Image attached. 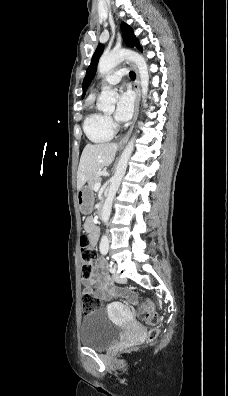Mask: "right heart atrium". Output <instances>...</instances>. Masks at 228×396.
Here are the masks:
<instances>
[{
    "instance_id": "d8ad5b80",
    "label": "right heart atrium",
    "mask_w": 228,
    "mask_h": 396,
    "mask_svg": "<svg viewBox=\"0 0 228 396\" xmlns=\"http://www.w3.org/2000/svg\"><path fill=\"white\" fill-rule=\"evenodd\" d=\"M107 120H108L109 125L111 126L112 125V120L109 117H107Z\"/></svg>"
}]
</instances>
